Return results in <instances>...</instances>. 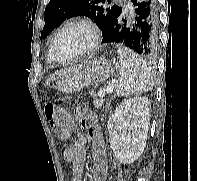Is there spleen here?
Here are the masks:
<instances>
[{
	"label": "spleen",
	"mask_w": 197,
	"mask_h": 181,
	"mask_svg": "<svg viewBox=\"0 0 197 181\" xmlns=\"http://www.w3.org/2000/svg\"><path fill=\"white\" fill-rule=\"evenodd\" d=\"M116 69L118 80L115 90L118 96H129L150 91L154 86L151 67L132 50L122 44L117 46Z\"/></svg>",
	"instance_id": "spleen-1"
}]
</instances>
